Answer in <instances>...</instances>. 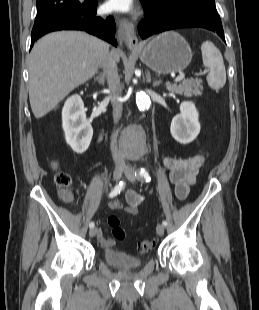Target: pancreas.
<instances>
[{
  "label": "pancreas",
  "instance_id": "1",
  "mask_svg": "<svg viewBox=\"0 0 259 310\" xmlns=\"http://www.w3.org/2000/svg\"><path fill=\"white\" fill-rule=\"evenodd\" d=\"M167 90L170 93H176L179 95H184L185 97H192V96H200L202 95V80L195 78V79H186L180 82L179 84L174 85H167Z\"/></svg>",
  "mask_w": 259,
  "mask_h": 310
}]
</instances>
